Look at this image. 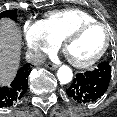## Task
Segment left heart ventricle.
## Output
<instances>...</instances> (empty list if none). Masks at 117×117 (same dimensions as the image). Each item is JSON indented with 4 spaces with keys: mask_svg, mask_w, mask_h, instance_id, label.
Returning <instances> with one entry per match:
<instances>
[{
    "mask_svg": "<svg viewBox=\"0 0 117 117\" xmlns=\"http://www.w3.org/2000/svg\"><path fill=\"white\" fill-rule=\"evenodd\" d=\"M106 31L99 26L85 30L77 39L72 41L66 50L69 58L75 61H87L94 57L104 46Z\"/></svg>",
    "mask_w": 117,
    "mask_h": 117,
    "instance_id": "left-heart-ventricle-1",
    "label": "left heart ventricle"
}]
</instances>
